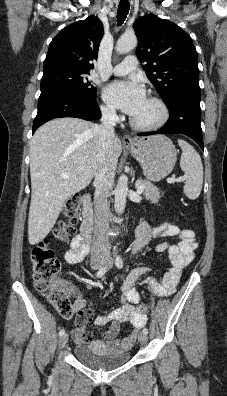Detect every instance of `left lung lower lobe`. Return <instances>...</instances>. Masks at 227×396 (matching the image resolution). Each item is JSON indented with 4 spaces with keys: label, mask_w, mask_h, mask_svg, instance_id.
Returning a JSON list of instances; mask_svg holds the SVG:
<instances>
[{
    "label": "left lung lower lobe",
    "mask_w": 227,
    "mask_h": 396,
    "mask_svg": "<svg viewBox=\"0 0 227 396\" xmlns=\"http://www.w3.org/2000/svg\"><path fill=\"white\" fill-rule=\"evenodd\" d=\"M200 91H182L173 95L167 103L170 117L159 130L138 133V136L180 133L189 136L204 149L201 129Z\"/></svg>",
    "instance_id": "left-lung-lower-lobe-1"
}]
</instances>
